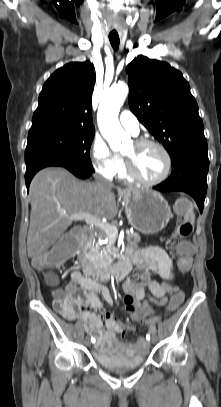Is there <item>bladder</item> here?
Segmentation results:
<instances>
[{
  "instance_id": "31cf9c89",
  "label": "bladder",
  "mask_w": 221,
  "mask_h": 407,
  "mask_svg": "<svg viewBox=\"0 0 221 407\" xmlns=\"http://www.w3.org/2000/svg\"><path fill=\"white\" fill-rule=\"evenodd\" d=\"M144 353L134 355L132 357H124L119 354H109L95 351L93 353V358L98 365L107 370L124 371L141 367L145 362Z\"/></svg>"
}]
</instances>
